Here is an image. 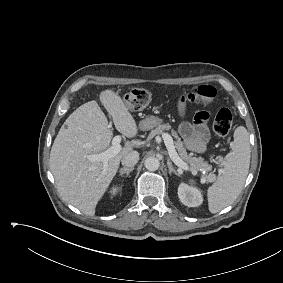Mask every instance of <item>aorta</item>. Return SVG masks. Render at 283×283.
<instances>
[{
    "instance_id": "1",
    "label": "aorta",
    "mask_w": 283,
    "mask_h": 283,
    "mask_svg": "<svg viewBox=\"0 0 283 283\" xmlns=\"http://www.w3.org/2000/svg\"><path fill=\"white\" fill-rule=\"evenodd\" d=\"M145 168L149 171H156L158 170L159 166H160V162L157 158L155 157H148L145 160Z\"/></svg>"
}]
</instances>
